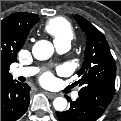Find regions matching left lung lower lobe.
<instances>
[{
    "label": "left lung lower lobe",
    "instance_id": "1",
    "mask_svg": "<svg viewBox=\"0 0 121 121\" xmlns=\"http://www.w3.org/2000/svg\"><path fill=\"white\" fill-rule=\"evenodd\" d=\"M105 109L88 99L79 97L71 102L69 110L56 112V116L60 121H95Z\"/></svg>",
    "mask_w": 121,
    "mask_h": 121
}]
</instances>
